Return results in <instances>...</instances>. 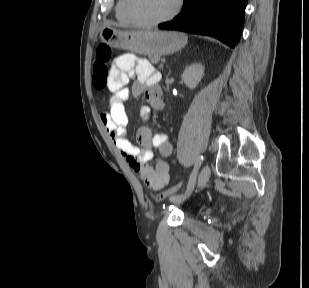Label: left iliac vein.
I'll use <instances>...</instances> for the list:
<instances>
[{"label":"left iliac vein","instance_id":"4c4485c4","mask_svg":"<svg viewBox=\"0 0 309 288\" xmlns=\"http://www.w3.org/2000/svg\"><path fill=\"white\" fill-rule=\"evenodd\" d=\"M209 177H210V168L208 165H205L200 173H199V176H198V182H197V186L198 188H201L203 186L206 185V183L208 182L209 180ZM191 195V193H188L186 194L184 197H181L180 199L178 200H174L172 201V203L174 204H179L181 202H184L185 200H187L189 198V196Z\"/></svg>","mask_w":309,"mask_h":288}]
</instances>
